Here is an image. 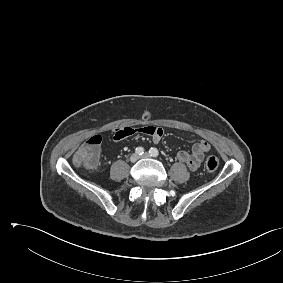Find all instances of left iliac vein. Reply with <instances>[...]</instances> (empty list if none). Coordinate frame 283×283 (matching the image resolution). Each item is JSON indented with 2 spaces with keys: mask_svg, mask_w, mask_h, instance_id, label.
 Segmentation results:
<instances>
[{
  "mask_svg": "<svg viewBox=\"0 0 283 283\" xmlns=\"http://www.w3.org/2000/svg\"><path fill=\"white\" fill-rule=\"evenodd\" d=\"M149 156H150V154L145 152L143 155H141V158H148Z\"/></svg>",
  "mask_w": 283,
  "mask_h": 283,
  "instance_id": "obj_1",
  "label": "left iliac vein"
}]
</instances>
